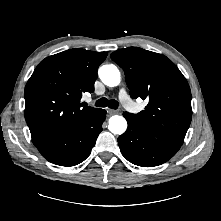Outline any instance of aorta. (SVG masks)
<instances>
[{"mask_svg":"<svg viewBox=\"0 0 221 221\" xmlns=\"http://www.w3.org/2000/svg\"><path fill=\"white\" fill-rule=\"evenodd\" d=\"M99 77L101 81L109 87L118 86L121 81L120 72L113 64L101 66L99 68ZM108 129L113 134L121 135L127 129V121L122 116H112L109 119Z\"/></svg>","mask_w":221,"mask_h":221,"instance_id":"aorta-1","label":"aorta"}]
</instances>
